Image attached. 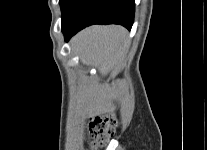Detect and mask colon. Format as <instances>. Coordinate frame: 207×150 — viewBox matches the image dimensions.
<instances>
[{"label": "colon", "mask_w": 207, "mask_h": 150, "mask_svg": "<svg viewBox=\"0 0 207 150\" xmlns=\"http://www.w3.org/2000/svg\"><path fill=\"white\" fill-rule=\"evenodd\" d=\"M118 121L112 114L98 115L89 121L90 150H98L104 146L115 133Z\"/></svg>", "instance_id": "1"}]
</instances>
